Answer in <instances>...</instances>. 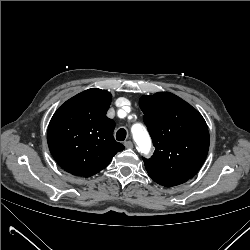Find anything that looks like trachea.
<instances>
[{"mask_svg": "<svg viewBox=\"0 0 250 250\" xmlns=\"http://www.w3.org/2000/svg\"><path fill=\"white\" fill-rule=\"evenodd\" d=\"M126 135H127L126 130L123 129V128H121V129H119V130L117 131V133H116V139H117L118 141H123V140H125Z\"/></svg>", "mask_w": 250, "mask_h": 250, "instance_id": "3493384b", "label": "trachea"}]
</instances>
